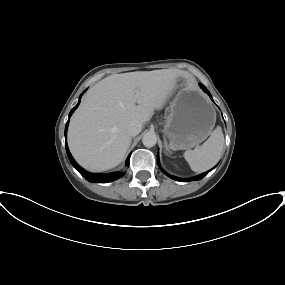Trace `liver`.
<instances>
[{
    "instance_id": "6515ba94",
    "label": "liver",
    "mask_w": 285,
    "mask_h": 285,
    "mask_svg": "<svg viewBox=\"0 0 285 285\" xmlns=\"http://www.w3.org/2000/svg\"><path fill=\"white\" fill-rule=\"evenodd\" d=\"M180 79L195 90L193 76L179 69L114 74L94 85L69 124L68 145L75 160L93 172L120 164L130 145L128 123L148 121Z\"/></svg>"
}]
</instances>
